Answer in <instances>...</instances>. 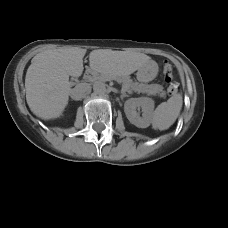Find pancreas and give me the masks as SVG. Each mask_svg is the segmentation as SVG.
I'll list each match as a JSON object with an SVG mask.
<instances>
[{"label": "pancreas", "instance_id": "obj_1", "mask_svg": "<svg viewBox=\"0 0 228 228\" xmlns=\"http://www.w3.org/2000/svg\"><path fill=\"white\" fill-rule=\"evenodd\" d=\"M111 79H115L117 82L122 83L124 89L127 92H137V93H147L148 95H159L163 97L165 91L160 85L157 84H140L138 82H133L129 77H109L103 74H98L90 77V81L93 82H105Z\"/></svg>", "mask_w": 228, "mask_h": 228}]
</instances>
